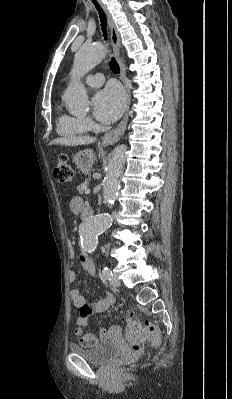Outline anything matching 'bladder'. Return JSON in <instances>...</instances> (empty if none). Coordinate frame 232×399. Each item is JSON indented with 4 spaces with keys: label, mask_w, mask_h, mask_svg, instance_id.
<instances>
[{
    "label": "bladder",
    "mask_w": 232,
    "mask_h": 399,
    "mask_svg": "<svg viewBox=\"0 0 232 399\" xmlns=\"http://www.w3.org/2000/svg\"><path fill=\"white\" fill-rule=\"evenodd\" d=\"M70 350L96 364H105L121 354L120 347L111 341H100L91 347L71 344Z\"/></svg>",
    "instance_id": "bladder-1"
}]
</instances>
